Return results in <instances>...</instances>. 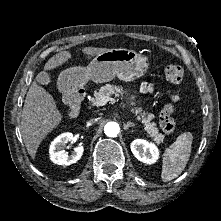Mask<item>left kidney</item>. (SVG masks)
I'll return each mask as SVG.
<instances>
[{
    "label": "left kidney",
    "mask_w": 221,
    "mask_h": 221,
    "mask_svg": "<svg viewBox=\"0 0 221 221\" xmlns=\"http://www.w3.org/2000/svg\"><path fill=\"white\" fill-rule=\"evenodd\" d=\"M130 148L133 155L143 163L153 164L159 158V150L156 145L144 139L134 140Z\"/></svg>",
    "instance_id": "1"
}]
</instances>
